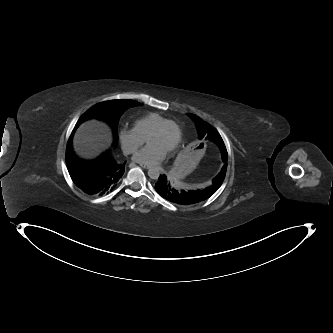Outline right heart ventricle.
I'll return each mask as SVG.
<instances>
[{"label":"right heart ventricle","instance_id":"obj_1","mask_svg":"<svg viewBox=\"0 0 333 333\" xmlns=\"http://www.w3.org/2000/svg\"><path fill=\"white\" fill-rule=\"evenodd\" d=\"M169 120L170 119L164 115L157 112H151L137 119L134 122V129L146 139L159 125Z\"/></svg>","mask_w":333,"mask_h":333}]
</instances>
